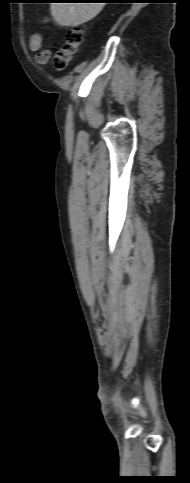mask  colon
<instances>
[{
    "label": "colon",
    "mask_w": 190,
    "mask_h": 483,
    "mask_svg": "<svg viewBox=\"0 0 190 483\" xmlns=\"http://www.w3.org/2000/svg\"><path fill=\"white\" fill-rule=\"evenodd\" d=\"M83 31L75 27L67 36L66 42L57 50L54 56V66L57 70H63L71 61L82 42Z\"/></svg>",
    "instance_id": "1"
}]
</instances>
